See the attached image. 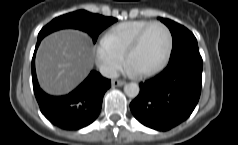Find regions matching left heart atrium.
I'll use <instances>...</instances> for the list:
<instances>
[{
	"label": "left heart atrium",
	"mask_w": 238,
	"mask_h": 145,
	"mask_svg": "<svg viewBox=\"0 0 238 145\" xmlns=\"http://www.w3.org/2000/svg\"><path fill=\"white\" fill-rule=\"evenodd\" d=\"M126 70H127V72L130 73V74H135V73H137V72L135 71V69H134L131 65H129V64L126 65Z\"/></svg>",
	"instance_id": "1"
}]
</instances>
